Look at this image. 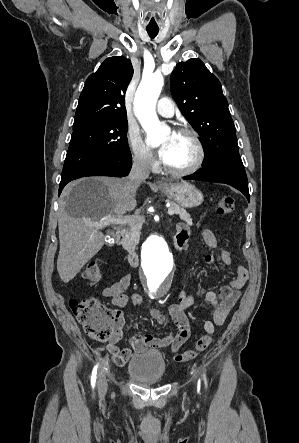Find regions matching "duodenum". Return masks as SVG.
Instances as JSON below:
<instances>
[{
    "label": "duodenum",
    "instance_id": "1",
    "mask_svg": "<svg viewBox=\"0 0 299 443\" xmlns=\"http://www.w3.org/2000/svg\"><path fill=\"white\" fill-rule=\"evenodd\" d=\"M116 238H117V240L119 242L122 243L123 239H124V231L121 230V229L118 230L117 233H116ZM185 245H186V242L180 241L178 239H175L174 246H175V249L177 251L183 250ZM127 252H128V262H129L130 266L131 267H137L138 263H139V255H138V253L135 250H133V249H128Z\"/></svg>",
    "mask_w": 299,
    "mask_h": 443
}]
</instances>
